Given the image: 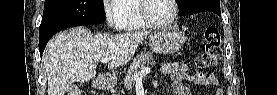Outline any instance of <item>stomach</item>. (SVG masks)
<instances>
[{"label":"stomach","instance_id":"stomach-1","mask_svg":"<svg viewBox=\"0 0 277 95\" xmlns=\"http://www.w3.org/2000/svg\"><path fill=\"white\" fill-rule=\"evenodd\" d=\"M184 42V34L176 29L157 31L149 37V46L152 51L161 54H173L177 52ZM115 84V77L110 78L107 83L108 86H114Z\"/></svg>","mask_w":277,"mask_h":95}]
</instances>
